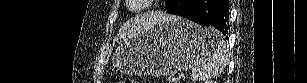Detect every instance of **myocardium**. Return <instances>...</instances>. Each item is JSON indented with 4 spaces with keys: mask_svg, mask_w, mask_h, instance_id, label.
<instances>
[{
    "mask_svg": "<svg viewBox=\"0 0 307 83\" xmlns=\"http://www.w3.org/2000/svg\"><path fill=\"white\" fill-rule=\"evenodd\" d=\"M131 2V0H128ZM131 10L138 11L140 9V5L134 4L130 6Z\"/></svg>",
    "mask_w": 307,
    "mask_h": 83,
    "instance_id": "f54148a6",
    "label": "myocardium"
}]
</instances>
